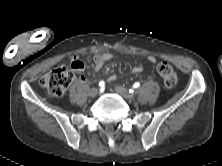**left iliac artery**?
<instances>
[{
  "mask_svg": "<svg viewBox=\"0 0 222 166\" xmlns=\"http://www.w3.org/2000/svg\"><path fill=\"white\" fill-rule=\"evenodd\" d=\"M140 86L139 82L134 83L133 88H138ZM129 92L131 93V90H129Z\"/></svg>",
  "mask_w": 222,
  "mask_h": 166,
  "instance_id": "left-iliac-artery-1",
  "label": "left iliac artery"
}]
</instances>
